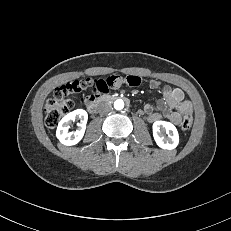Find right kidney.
<instances>
[{
  "label": "right kidney",
  "instance_id": "obj_1",
  "mask_svg": "<svg viewBox=\"0 0 231 231\" xmlns=\"http://www.w3.org/2000/svg\"><path fill=\"white\" fill-rule=\"evenodd\" d=\"M76 119L80 120V123H78V129L74 132H69L68 130L71 123L74 122ZM87 119L88 114L83 109L74 110L64 116L59 122L56 131V136L59 141L67 146L77 144L84 136Z\"/></svg>",
  "mask_w": 231,
  "mask_h": 231
}]
</instances>
